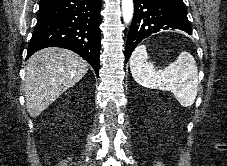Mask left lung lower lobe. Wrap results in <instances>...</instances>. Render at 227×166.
I'll return each instance as SVG.
<instances>
[{
  "label": "left lung lower lobe",
  "mask_w": 227,
  "mask_h": 166,
  "mask_svg": "<svg viewBox=\"0 0 227 166\" xmlns=\"http://www.w3.org/2000/svg\"><path fill=\"white\" fill-rule=\"evenodd\" d=\"M168 29L192 34L183 0H134V17L125 48V62L143 39Z\"/></svg>",
  "instance_id": "0a47b994"
}]
</instances>
